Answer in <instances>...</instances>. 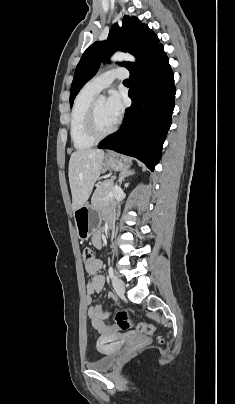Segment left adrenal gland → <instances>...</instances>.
<instances>
[{"label": "left adrenal gland", "instance_id": "1", "mask_svg": "<svg viewBox=\"0 0 235 404\" xmlns=\"http://www.w3.org/2000/svg\"><path fill=\"white\" fill-rule=\"evenodd\" d=\"M134 173H135V172H134L133 170L122 171V172L119 174V179H118L119 184H120V185L122 184V182L124 181L125 177L130 176V175H133Z\"/></svg>", "mask_w": 235, "mask_h": 404}]
</instances>
